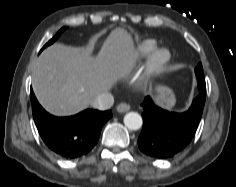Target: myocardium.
<instances>
[{
    "label": "myocardium",
    "instance_id": "obj_1",
    "mask_svg": "<svg viewBox=\"0 0 236 187\" xmlns=\"http://www.w3.org/2000/svg\"><path fill=\"white\" fill-rule=\"evenodd\" d=\"M171 60V53L166 48L155 50L149 57L140 78L143 86L151 85L154 80L166 69Z\"/></svg>",
    "mask_w": 236,
    "mask_h": 187
}]
</instances>
